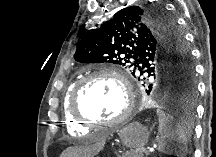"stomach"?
<instances>
[{
    "instance_id": "obj_1",
    "label": "stomach",
    "mask_w": 216,
    "mask_h": 157,
    "mask_svg": "<svg viewBox=\"0 0 216 157\" xmlns=\"http://www.w3.org/2000/svg\"><path fill=\"white\" fill-rule=\"evenodd\" d=\"M119 135L126 146L130 148H139L148 142L149 131L141 124L133 122L123 127L119 131Z\"/></svg>"
}]
</instances>
